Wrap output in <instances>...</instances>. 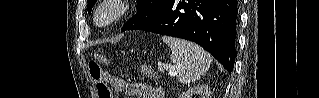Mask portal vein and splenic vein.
<instances>
[{"label":"portal vein and splenic vein","mask_w":319,"mask_h":98,"mask_svg":"<svg viewBox=\"0 0 319 98\" xmlns=\"http://www.w3.org/2000/svg\"><path fill=\"white\" fill-rule=\"evenodd\" d=\"M159 70H169V72H170L171 74H175L174 71H172V68H171L170 66H168V65L160 66V67H159Z\"/></svg>","instance_id":"1"}]
</instances>
